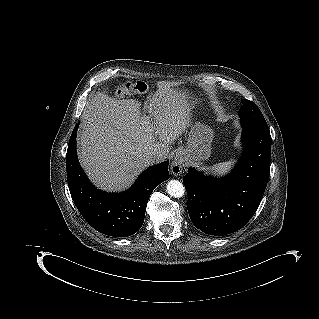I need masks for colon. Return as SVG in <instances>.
Instances as JSON below:
<instances>
[{
	"mask_svg": "<svg viewBox=\"0 0 319 319\" xmlns=\"http://www.w3.org/2000/svg\"><path fill=\"white\" fill-rule=\"evenodd\" d=\"M148 91V85L143 81H127L117 88L119 95L141 94Z\"/></svg>",
	"mask_w": 319,
	"mask_h": 319,
	"instance_id": "obj_1",
	"label": "colon"
}]
</instances>
